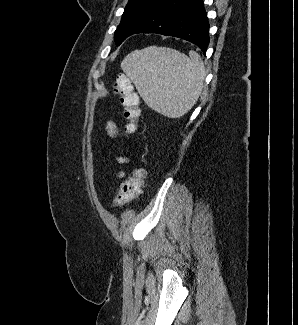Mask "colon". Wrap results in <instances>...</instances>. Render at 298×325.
Wrapping results in <instances>:
<instances>
[{
  "label": "colon",
  "instance_id": "1",
  "mask_svg": "<svg viewBox=\"0 0 298 325\" xmlns=\"http://www.w3.org/2000/svg\"><path fill=\"white\" fill-rule=\"evenodd\" d=\"M113 89L119 96V102L123 107V114L127 121L124 126V135L130 136L136 131L137 123L141 115L139 96L134 90L129 78L124 74L117 76ZM145 178L146 172L143 168H135L132 170L127 179L121 183L113 199V206L121 207L135 200L142 190Z\"/></svg>",
  "mask_w": 298,
  "mask_h": 325
}]
</instances>
